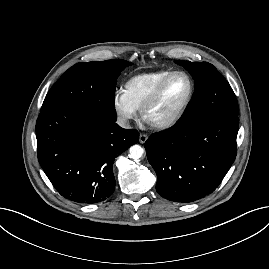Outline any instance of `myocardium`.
I'll list each match as a JSON object with an SVG mask.
<instances>
[{"label":"myocardium","mask_w":269,"mask_h":269,"mask_svg":"<svg viewBox=\"0 0 269 269\" xmlns=\"http://www.w3.org/2000/svg\"><path fill=\"white\" fill-rule=\"evenodd\" d=\"M177 75L185 76L189 82V91H188V94H187L185 101L171 115H169L163 119H160V120H150L148 118L149 111L158 102V100H159L165 86L167 85V83L174 76H177ZM193 95H194V82H193V79L191 78V76L184 71H173L169 75H167L154 89V91L152 92V94L150 95L148 100L144 103V105L140 109V117L146 124H148L152 128H155V129L169 128V127L173 126L174 124H176L180 120V118L183 116V114L185 113V111L187 110L188 106L190 105V103L192 101Z\"/></svg>","instance_id":"f54148a6"}]
</instances>
